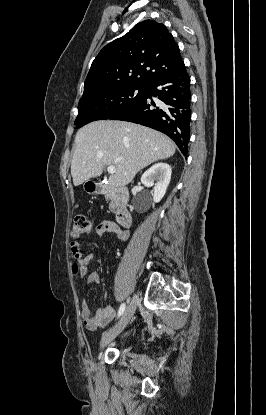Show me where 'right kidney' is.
<instances>
[{
    "mask_svg": "<svg viewBox=\"0 0 266 415\" xmlns=\"http://www.w3.org/2000/svg\"><path fill=\"white\" fill-rule=\"evenodd\" d=\"M171 167L166 163H157L150 167L141 177L146 187H153V201L158 203L164 197L171 179Z\"/></svg>",
    "mask_w": 266,
    "mask_h": 415,
    "instance_id": "1",
    "label": "right kidney"
}]
</instances>
